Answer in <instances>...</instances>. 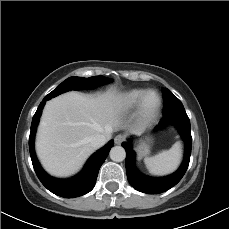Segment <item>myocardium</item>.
Wrapping results in <instances>:
<instances>
[{
  "label": "myocardium",
  "instance_id": "obj_1",
  "mask_svg": "<svg viewBox=\"0 0 229 229\" xmlns=\"http://www.w3.org/2000/svg\"><path fill=\"white\" fill-rule=\"evenodd\" d=\"M154 96L155 102L151 103L150 98ZM162 100L160 95L154 90H148L140 100L138 106V116L141 122L147 124L151 122L159 113Z\"/></svg>",
  "mask_w": 229,
  "mask_h": 229
}]
</instances>
